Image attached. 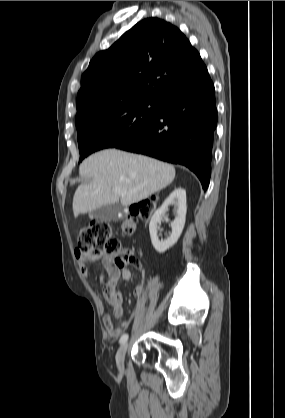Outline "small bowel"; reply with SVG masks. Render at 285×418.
<instances>
[{"label":"small bowel","instance_id":"c3829d8e","mask_svg":"<svg viewBox=\"0 0 285 418\" xmlns=\"http://www.w3.org/2000/svg\"><path fill=\"white\" fill-rule=\"evenodd\" d=\"M101 262L104 268L107 270L110 278L111 283L104 287L103 295L107 303L111 307V312L106 313L103 316V325L107 334L112 338H117L123 333V325L115 326L113 322V317L118 319H122L124 316L123 311V295L122 292L117 290L115 287V281L121 278L124 282H130L132 280V271L127 266H118L115 264L113 258L108 254H101L97 256L95 259L87 261V262H80L79 263V270L81 274L88 278L89 277V265ZM143 291L142 283L139 282L135 288V296L140 297Z\"/></svg>","mask_w":285,"mask_h":418}]
</instances>
